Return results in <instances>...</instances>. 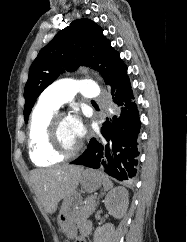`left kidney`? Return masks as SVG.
Segmentation results:
<instances>
[{
    "label": "left kidney",
    "instance_id": "1",
    "mask_svg": "<svg viewBox=\"0 0 187 242\" xmlns=\"http://www.w3.org/2000/svg\"><path fill=\"white\" fill-rule=\"evenodd\" d=\"M106 209L115 217L122 218L129 205L128 191L124 187H115L105 197ZM114 231L112 224L99 227L94 232V242H108V238Z\"/></svg>",
    "mask_w": 187,
    "mask_h": 242
}]
</instances>
